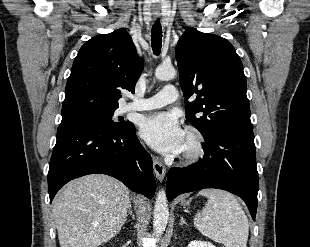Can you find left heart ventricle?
I'll return each instance as SVG.
<instances>
[{"label": "left heart ventricle", "mask_w": 310, "mask_h": 247, "mask_svg": "<svg viewBox=\"0 0 310 247\" xmlns=\"http://www.w3.org/2000/svg\"><path fill=\"white\" fill-rule=\"evenodd\" d=\"M186 145H187V138L185 136L182 148L185 147Z\"/></svg>", "instance_id": "b2bd125f"}]
</instances>
